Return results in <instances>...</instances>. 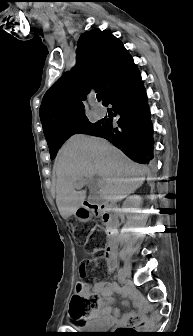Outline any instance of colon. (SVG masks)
<instances>
[{
    "mask_svg": "<svg viewBox=\"0 0 193 336\" xmlns=\"http://www.w3.org/2000/svg\"><path fill=\"white\" fill-rule=\"evenodd\" d=\"M69 228L71 230H74L75 228L74 224L70 223ZM76 241L77 243L83 245L87 252L99 253L100 250L102 249V245L97 240L95 234H90L88 236L77 235ZM91 264L92 261L88 259L83 260L80 263V277L82 280L79 282L78 292L72 296L70 301L71 316L78 321L89 318L99 306V297L96 294L82 293V290L86 286L85 279L88 276Z\"/></svg>",
    "mask_w": 193,
    "mask_h": 336,
    "instance_id": "colon-1",
    "label": "colon"
}]
</instances>
